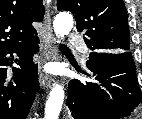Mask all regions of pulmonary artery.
<instances>
[{
  "label": "pulmonary artery",
  "instance_id": "e3ab8cb5",
  "mask_svg": "<svg viewBox=\"0 0 142 119\" xmlns=\"http://www.w3.org/2000/svg\"><path fill=\"white\" fill-rule=\"evenodd\" d=\"M68 43L71 45L79 46L83 54L87 53V48L82 40V38L77 34H70L68 36Z\"/></svg>",
  "mask_w": 142,
  "mask_h": 119
}]
</instances>
